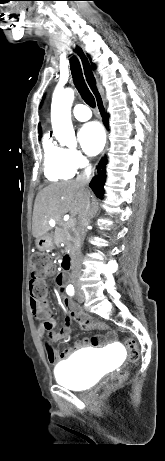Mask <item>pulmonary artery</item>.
Segmentation results:
<instances>
[{"mask_svg": "<svg viewBox=\"0 0 165 461\" xmlns=\"http://www.w3.org/2000/svg\"><path fill=\"white\" fill-rule=\"evenodd\" d=\"M73 115L80 121H86L91 118V111L87 106L79 104L73 108Z\"/></svg>", "mask_w": 165, "mask_h": 461, "instance_id": "e3ab8cb5", "label": "pulmonary artery"}]
</instances>
